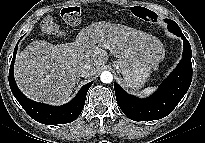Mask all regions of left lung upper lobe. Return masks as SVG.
I'll return each mask as SVG.
<instances>
[{
    "mask_svg": "<svg viewBox=\"0 0 205 143\" xmlns=\"http://www.w3.org/2000/svg\"><path fill=\"white\" fill-rule=\"evenodd\" d=\"M169 21H170V19H167V20H166L167 23H170Z\"/></svg>",
    "mask_w": 205,
    "mask_h": 143,
    "instance_id": "left-lung-upper-lobe-1",
    "label": "left lung upper lobe"
}]
</instances>
